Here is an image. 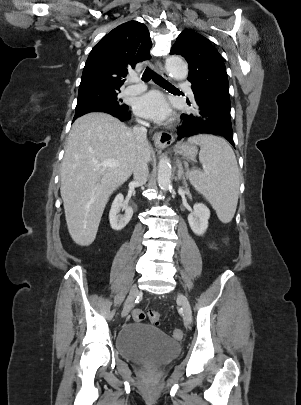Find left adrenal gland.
I'll use <instances>...</instances> for the list:
<instances>
[{"label": "left adrenal gland", "mask_w": 301, "mask_h": 405, "mask_svg": "<svg viewBox=\"0 0 301 405\" xmlns=\"http://www.w3.org/2000/svg\"><path fill=\"white\" fill-rule=\"evenodd\" d=\"M177 179L182 180L183 184L186 185V175L184 173L182 163L178 162V172H177Z\"/></svg>", "instance_id": "1"}]
</instances>
